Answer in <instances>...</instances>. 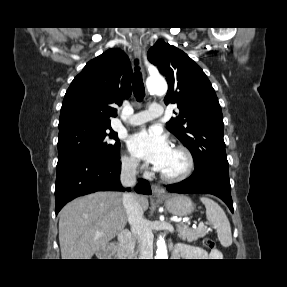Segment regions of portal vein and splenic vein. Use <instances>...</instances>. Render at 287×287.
Returning a JSON list of instances; mask_svg holds the SVG:
<instances>
[{
	"label": "portal vein and splenic vein",
	"mask_w": 287,
	"mask_h": 287,
	"mask_svg": "<svg viewBox=\"0 0 287 287\" xmlns=\"http://www.w3.org/2000/svg\"><path fill=\"white\" fill-rule=\"evenodd\" d=\"M172 220L175 221V222H181V219H177V218H173ZM182 222H183V223L190 224V222H189L187 219H186V220H183ZM203 226H204L203 223H200V224H199V227H203Z\"/></svg>",
	"instance_id": "1"
}]
</instances>
